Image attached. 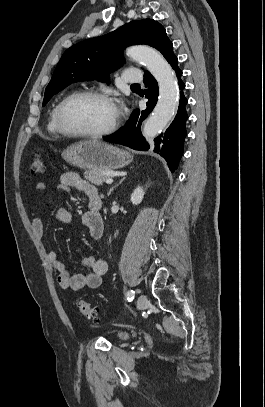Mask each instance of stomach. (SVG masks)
I'll return each instance as SVG.
<instances>
[{
	"instance_id": "stomach-1",
	"label": "stomach",
	"mask_w": 265,
	"mask_h": 407,
	"mask_svg": "<svg viewBox=\"0 0 265 407\" xmlns=\"http://www.w3.org/2000/svg\"><path fill=\"white\" fill-rule=\"evenodd\" d=\"M62 157L78 168L102 171L123 168L133 159L128 151L96 140L73 144L62 152Z\"/></svg>"
}]
</instances>
